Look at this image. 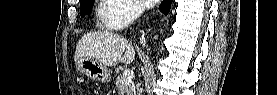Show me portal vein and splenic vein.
<instances>
[{
	"mask_svg": "<svg viewBox=\"0 0 277 95\" xmlns=\"http://www.w3.org/2000/svg\"><path fill=\"white\" fill-rule=\"evenodd\" d=\"M122 76L130 81L134 77V72L131 70H125Z\"/></svg>",
	"mask_w": 277,
	"mask_h": 95,
	"instance_id": "portal-vein-and-splenic-vein-1",
	"label": "portal vein and splenic vein"
}]
</instances>
